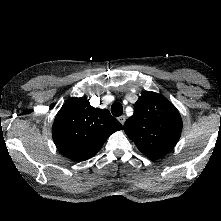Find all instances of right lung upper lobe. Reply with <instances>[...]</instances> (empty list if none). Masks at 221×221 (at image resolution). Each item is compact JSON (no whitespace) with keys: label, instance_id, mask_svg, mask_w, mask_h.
Masks as SVG:
<instances>
[{"label":"right lung upper lobe","instance_id":"1","mask_svg":"<svg viewBox=\"0 0 221 221\" xmlns=\"http://www.w3.org/2000/svg\"><path fill=\"white\" fill-rule=\"evenodd\" d=\"M121 129L107 109L92 107L86 98H72L56 115L52 135L62 155L80 162L93 157L107 138Z\"/></svg>","mask_w":221,"mask_h":221}]
</instances>
